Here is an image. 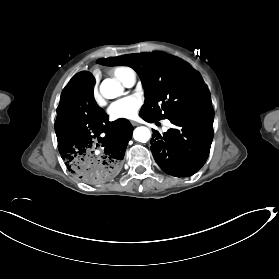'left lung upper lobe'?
I'll use <instances>...</instances> for the list:
<instances>
[{"instance_id":"1","label":"left lung upper lobe","mask_w":279,"mask_h":279,"mask_svg":"<svg viewBox=\"0 0 279 279\" xmlns=\"http://www.w3.org/2000/svg\"><path fill=\"white\" fill-rule=\"evenodd\" d=\"M102 65H127L145 89L140 115L153 121L175 119L212 109L202 78L184 61L162 52L128 54L97 60Z\"/></svg>"}]
</instances>
